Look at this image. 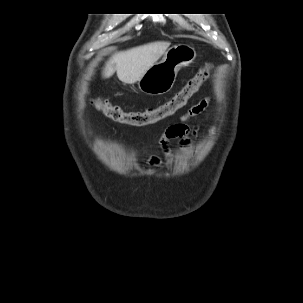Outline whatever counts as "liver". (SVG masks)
<instances>
[{
    "label": "liver",
    "instance_id": "1",
    "mask_svg": "<svg viewBox=\"0 0 303 303\" xmlns=\"http://www.w3.org/2000/svg\"><path fill=\"white\" fill-rule=\"evenodd\" d=\"M169 45L158 41L115 53L106 63L103 76L109 78L116 72L121 82L134 84L165 54Z\"/></svg>",
    "mask_w": 303,
    "mask_h": 303
}]
</instances>
